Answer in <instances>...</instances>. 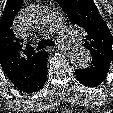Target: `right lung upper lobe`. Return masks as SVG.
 <instances>
[{
    "label": "right lung upper lobe",
    "instance_id": "obj_1",
    "mask_svg": "<svg viewBox=\"0 0 113 113\" xmlns=\"http://www.w3.org/2000/svg\"><path fill=\"white\" fill-rule=\"evenodd\" d=\"M22 2L8 0L0 19V64L19 90L35 79L47 56L42 51L35 53L30 45L25 46L13 32L12 23Z\"/></svg>",
    "mask_w": 113,
    "mask_h": 113
}]
</instances>
